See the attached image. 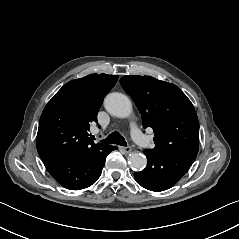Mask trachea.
I'll use <instances>...</instances> for the list:
<instances>
[{"label":"trachea","mask_w":239,"mask_h":239,"mask_svg":"<svg viewBox=\"0 0 239 239\" xmlns=\"http://www.w3.org/2000/svg\"><path fill=\"white\" fill-rule=\"evenodd\" d=\"M100 142L108 144H116L121 146H127V142L119 132H112L107 138L100 140Z\"/></svg>","instance_id":"obj_1"}]
</instances>
